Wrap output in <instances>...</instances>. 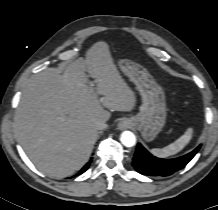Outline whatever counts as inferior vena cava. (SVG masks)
<instances>
[{"mask_svg":"<svg viewBox=\"0 0 218 210\" xmlns=\"http://www.w3.org/2000/svg\"><path fill=\"white\" fill-rule=\"evenodd\" d=\"M107 127L108 125L105 123V121H98L96 123L97 130H103V129H106Z\"/></svg>","mask_w":218,"mask_h":210,"instance_id":"1","label":"inferior vena cava"}]
</instances>
